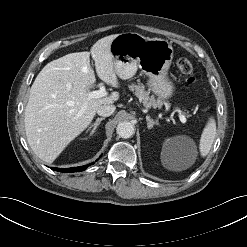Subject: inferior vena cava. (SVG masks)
Returning a JSON list of instances; mask_svg holds the SVG:
<instances>
[{"label":"inferior vena cava","mask_w":247,"mask_h":247,"mask_svg":"<svg viewBox=\"0 0 247 247\" xmlns=\"http://www.w3.org/2000/svg\"><path fill=\"white\" fill-rule=\"evenodd\" d=\"M116 107L114 105H101L98 109H97V113L100 116L103 117H107L110 116L114 113Z\"/></svg>","instance_id":"obj_1"}]
</instances>
